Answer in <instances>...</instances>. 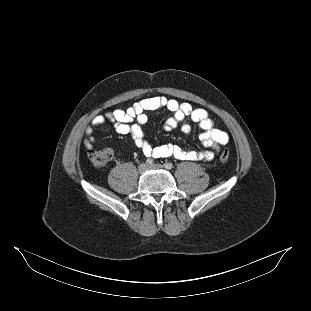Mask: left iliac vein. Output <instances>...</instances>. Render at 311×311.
<instances>
[{
    "instance_id": "4c4485c4",
    "label": "left iliac vein",
    "mask_w": 311,
    "mask_h": 311,
    "mask_svg": "<svg viewBox=\"0 0 311 311\" xmlns=\"http://www.w3.org/2000/svg\"><path fill=\"white\" fill-rule=\"evenodd\" d=\"M149 168L150 169H163L164 167L160 164H153Z\"/></svg>"
}]
</instances>
